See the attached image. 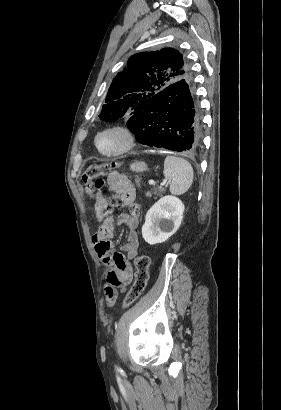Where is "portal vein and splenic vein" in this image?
I'll return each instance as SVG.
<instances>
[{
  "label": "portal vein and splenic vein",
  "instance_id": "18ae733b",
  "mask_svg": "<svg viewBox=\"0 0 281 410\" xmlns=\"http://www.w3.org/2000/svg\"><path fill=\"white\" fill-rule=\"evenodd\" d=\"M149 184L150 185H155V181L154 180H149Z\"/></svg>",
  "mask_w": 281,
  "mask_h": 410
}]
</instances>
